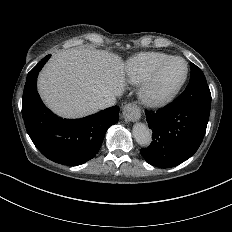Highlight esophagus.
<instances>
[{
	"instance_id": "obj_1",
	"label": "esophagus",
	"mask_w": 232,
	"mask_h": 232,
	"mask_svg": "<svg viewBox=\"0 0 232 232\" xmlns=\"http://www.w3.org/2000/svg\"><path fill=\"white\" fill-rule=\"evenodd\" d=\"M123 117L126 121H136L141 117V108L135 102L128 103L123 108Z\"/></svg>"
}]
</instances>
